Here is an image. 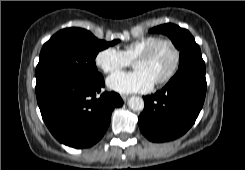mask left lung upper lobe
Instances as JSON below:
<instances>
[{
  "label": "left lung upper lobe",
  "mask_w": 245,
  "mask_h": 170,
  "mask_svg": "<svg viewBox=\"0 0 245 170\" xmlns=\"http://www.w3.org/2000/svg\"><path fill=\"white\" fill-rule=\"evenodd\" d=\"M150 33H162L167 35L180 50L179 69L181 72H199L205 73V63L202 59L199 45L194 37L186 29L180 28L174 24H164L149 30ZM176 73V74H177Z\"/></svg>",
  "instance_id": "obj_1"
}]
</instances>
